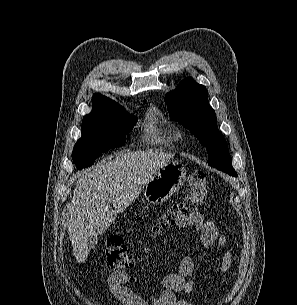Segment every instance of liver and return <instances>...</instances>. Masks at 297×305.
Returning a JSON list of instances; mask_svg holds the SVG:
<instances>
[{
  "mask_svg": "<svg viewBox=\"0 0 297 305\" xmlns=\"http://www.w3.org/2000/svg\"><path fill=\"white\" fill-rule=\"evenodd\" d=\"M173 156L153 150L119 153L79 178L67 220L74 256L79 263L85 262L90 250L87 237L104 233L117 213L130 206L155 172Z\"/></svg>",
  "mask_w": 297,
  "mask_h": 305,
  "instance_id": "obj_1",
  "label": "liver"
}]
</instances>
